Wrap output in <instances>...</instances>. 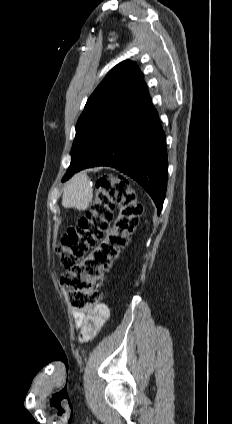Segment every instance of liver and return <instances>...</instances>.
I'll return each mask as SVG.
<instances>
[{
  "instance_id": "1",
  "label": "liver",
  "mask_w": 232,
  "mask_h": 424,
  "mask_svg": "<svg viewBox=\"0 0 232 424\" xmlns=\"http://www.w3.org/2000/svg\"><path fill=\"white\" fill-rule=\"evenodd\" d=\"M92 187L83 173L74 175L66 184L62 196V205L65 208L86 210L92 201Z\"/></svg>"
}]
</instances>
